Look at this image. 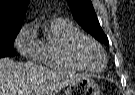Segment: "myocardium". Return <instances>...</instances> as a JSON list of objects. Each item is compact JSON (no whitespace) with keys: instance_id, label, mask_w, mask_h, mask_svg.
Segmentation results:
<instances>
[{"instance_id":"1","label":"myocardium","mask_w":135,"mask_h":95,"mask_svg":"<svg viewBox=\"0 0 135 95\" xmlns=\"http://www.w3.org/2000/svg\"><path fill=\"white\" fill-rule=\"evenodd\" d=\"M83 41H87V42L92 43L101 52L103 59H104V64L100 69H92V68L86 66L78 57L77 47ZM65 53H66L67 58L72 63H74L75 65H77L81 69H84V70H87V71H90L93 73L102 72L106 68L107 63H108V58H107V55H106L104 48L95 39H93L92 37H90L88 35L82 34V33L72 37L68 41V43L66 45Z\"/></svg>"}]
</instances>
